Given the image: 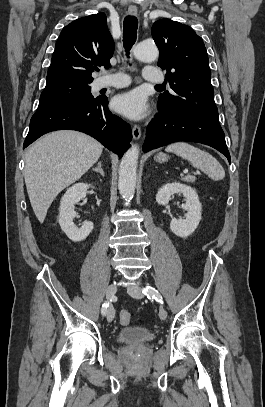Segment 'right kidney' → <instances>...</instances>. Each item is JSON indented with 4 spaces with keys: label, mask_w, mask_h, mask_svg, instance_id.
I'll return each instance as SVG.
<instances>
[{
    "label": "right kidney",
    "mask_w": 265,
    "mask_h": 407,
    "mask_svg": "<svg viewBox=\"0 0 265 407\" xmlns=\"http://www.w3.org/2000/svg\"><path fill=\"white\" fill-rule=\"evenodd\" d=\"M90 186V184L77 183L70 187L61 199L59 224L62 231L74 242L85 240L94 228L93 223L90 221L85 222L80 228L73 222L76 216L74 205L86 196Z\"/></svg>",
    "instance_id": "obj_1"
}]
</instances>
